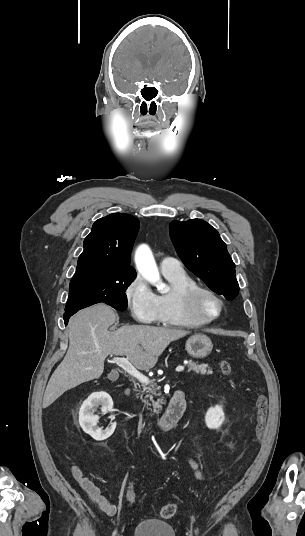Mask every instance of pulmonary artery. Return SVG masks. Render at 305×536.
Instances as JSON below:
<instances>
[{
    "instance_id": "1",
    "label": "pulmonary artery",
    "mask_w": 305,
    "mask_h": 536,
    "mask_svg": "<svg viewBox=\"0 0 305 536\" xmlns=\"http://www.w3.org/2000/svg\"><path fill=\"white\" fill-rule=\"evenodd\" d=\"M160 269L162 272H181L184 270L181 264L171 257L160 259Z\"/></svg>"
}]
</instances>
